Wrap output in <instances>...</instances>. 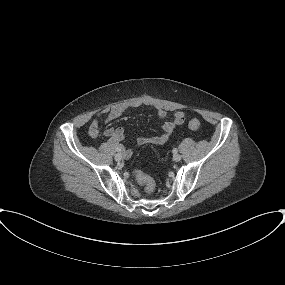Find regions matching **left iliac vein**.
<instances>
[{
  "mask_svg": "<svg viewBox=\"0 0 285 285\" xmlns=\"http://www.w3.org/2000/svg\"><path fill=\"white\" fill-rule=\"evenodd\" d=\"M181 158H182V157H181L180 154H177V153H176V154L173 155V160H174L175 162H179V161L181 160Z\"/></svg>",
  "mask_w": 285,
  "mask_h": 285,
  "instance_id": "4c4485c4",
  "label": "left iliac vein"
}]
</instances>
